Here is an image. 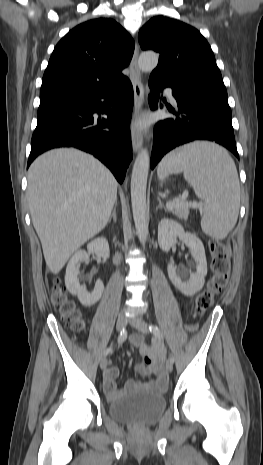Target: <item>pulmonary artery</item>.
I'll list each match as a JSON object with an SVG mask.
<instances>
[{"label": "pulmonary artery", "instance_id": "obj_1", "mask_svg": "<svg viewBox=\"0 0 263 465\" xmlns=\"http://www.w3.org/2000/svg\"><path fill=\"white\" fill-rule=\"evenodd\" d=\"M165 94L168 97V99L170 100V102L176 105L177 102H176V99H175V97H174V95L172 93V90L169 89V88L166 89Z\"/></svg>", "mask_w": 263, "mask_h": 465}]
</instances>
